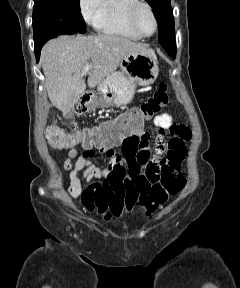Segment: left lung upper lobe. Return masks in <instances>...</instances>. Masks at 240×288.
Instances as JSON below:
<instances>
[{
    "label": "left lung upper lobe",
    "instance_id": "left-lung-upper-lobe-1",
    "mask_svg": "<svg viewBox=\"0 0 240 288\" xmlns=\"http://www.w3.org/2000/svg\"><path fill=\"white\" fill-rule=\"evenodd\" d=\"M159 25V43L165 50H176L175 29L170 0H146Z\"/></svg>",
    "mask_w": 240,
    "mask_h": 288
}]
</instances>
